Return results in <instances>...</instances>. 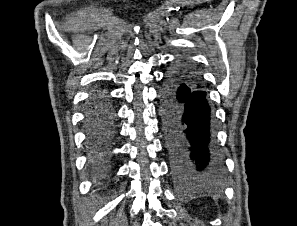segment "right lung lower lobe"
<instances>
[{"label":"right lung lower lobe","mask_w":297,"mask_h":226,"mask_svg":"<svg viewBox=\"0 0 297 226\" xmlns=\"http://www.w3.org/2000/svg\"><path fill=\"white\" fill-rule=\"evenodd\" d=\"M115 109L104 89L95 90L85 106L84 126L89 150V166L96 178H104L109 171L110 147L116 134Z\"/></svg>","instance_id":"1"}]
</instances>
